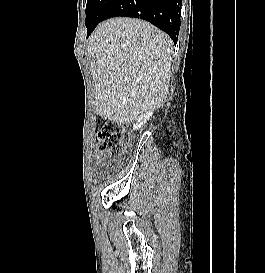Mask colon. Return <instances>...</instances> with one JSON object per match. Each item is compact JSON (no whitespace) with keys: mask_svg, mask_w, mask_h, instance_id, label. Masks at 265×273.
<instances>
[{"mask_svg":"<svg viewBox=\"0 0 265 273\" xmlns=\"http://www.w3.org/2000/svg\"><path fill=\"white\" fill-rule=\"evenodd\" d=\"M100 152L108 156H120L122 154L123 129L113 122L104 124L99 132Z\"/></svg>","mask_w":265,"mask_h":273,"instance_id":"colon-1","label":"colon"}]
</instances>
